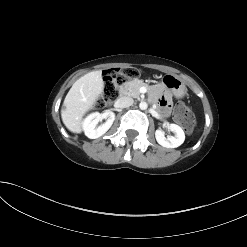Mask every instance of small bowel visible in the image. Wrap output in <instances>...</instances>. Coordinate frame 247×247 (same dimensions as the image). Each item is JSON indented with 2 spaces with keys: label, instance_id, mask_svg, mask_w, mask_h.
<instances>
[{
  "label": "small bowel",
  "instance_id": "obj_1",
  "mask_svg": "<svg viewBox=\"0 0 247 247\" xmlns=\"http://www.w3.org/2000/svg\"><path fill=\"white\" fill-rule=\"evenodd\" d=\"M161 91V87L157 86L154 89V98L158 99L159 105L161 106L163 112L165 115H167L170 111V98L168 95H165L163 97H159V93Z\"/></svg>",
  "mask_w": 247,
  "mask_h": 247
}]
</instances>
